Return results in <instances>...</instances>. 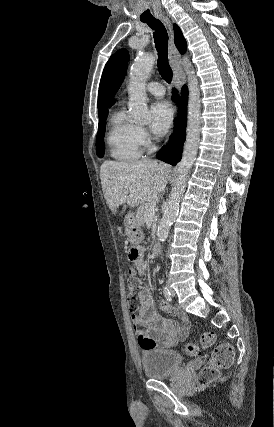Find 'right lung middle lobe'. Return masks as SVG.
<instances>
[{
  "mask_svg": "<svg viewBox=\"0 0 274 427\" xmlns=\"http://www.w3.org/2000/svg\"><path fill=\"white\" fill-rule=\"evenodd\" d=\"M108 110L99 114V126L98 133L96 139V153L99 157H103L104 155V134H105V120L107 118Z\"/></svg>",
  "mask_w": 274,
  "mask_h": 427,
  "instance_id": "dd1d6c3e",
  "label": "right lung middle lobe"
}]
</instances>
